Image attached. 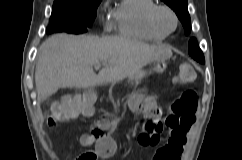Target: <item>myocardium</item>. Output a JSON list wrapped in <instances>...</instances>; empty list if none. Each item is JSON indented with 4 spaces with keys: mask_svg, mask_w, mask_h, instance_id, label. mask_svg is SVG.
I'll list each match as a JSON object with an SVG mask.
<instances>
[{
    "mask_svg": "<svg viewBox=\"0 0 242 160\" xmlns=\"http://www.w3.org/2000/svg\"><path fill=\"white\" fill-rule=\"evenodd\" d=\"M163 13L171 17L173 22L171 27H166L162 24L161 15ZM149 23L153 28L167 35L176 30L178 26V16L171 7L167 5H156L149 13Z\"/></svg>",
    "mask_w": 242,
    "mask_h": 160,
    "instance_id": "obj_1",
    "label": "myocardium"
}]
</instances>
